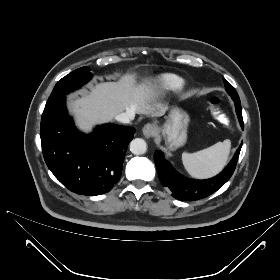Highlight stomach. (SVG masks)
<instances>
[{"label":"stomach","mask_w":280,"mask_h":280,"mask_svg":"<svg viewBox=\"0 0 280 280\" xmlns=\"http://www.w3.org/2000/svg\"><path fill=\"white\" fill-rule=\"evenodd\" d=\"M189 122L190 117L184 110L178 107L171 109L165 124L159 127L169 150H176L186 143Z\"/></svg>","instance_id":"1"}]
</instances>
